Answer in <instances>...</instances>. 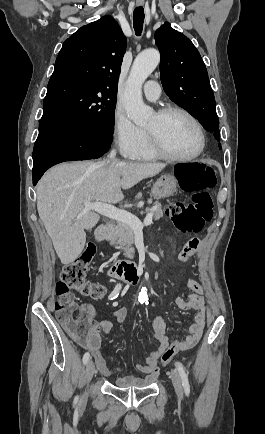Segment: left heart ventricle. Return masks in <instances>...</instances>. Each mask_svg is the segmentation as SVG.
I'll return each mask as SVG.
<instances>
[{"label":"left heart ventricle","mask_w":265,"mask_h":434,"mask_svg":"<svg viewBox=\"0 0 265 434\" xmlns=\"http://www.w3.org/2000/svg\"><path fill=\"white\" fill-rule=\"evenodd\" d=\"M146 127H159L162 143L175 155L188 156L198 149L199 136L196 127L181 113H171L161 123L155 115Z\"/></svg>","instance_id":"b2bd125f"}]
</instances>
